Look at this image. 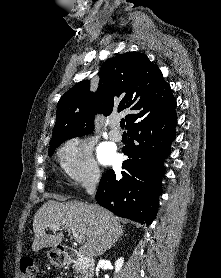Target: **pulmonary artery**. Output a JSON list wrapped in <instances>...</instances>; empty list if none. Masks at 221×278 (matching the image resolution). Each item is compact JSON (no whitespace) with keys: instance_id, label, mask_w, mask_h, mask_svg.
Listing matches in <instances>:
<instances>
[{"instance_id":"pulmonary-artery-1","label":"pulmonary artery","mask_w":221,"mask_h":278,"mask_svg":"<svg viewBox=\"0 0 221 278\" xmlns=\"http://www.w3.org/2000/svg\"><path fill=\"white\" fill-rule=\"evenodd\" d=\"M112 130L109 133V136L114 141H120L122 138L121 132L118 130L117 123L115 121L111 122Z\"/></svg>"}]
</instances>
